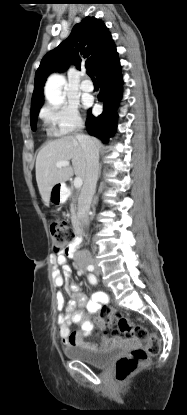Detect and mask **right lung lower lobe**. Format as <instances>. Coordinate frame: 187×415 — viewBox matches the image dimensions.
<instances>
[{
    "label": "right lung lower lobe",
    "instance_id": "obj_1",
    "mask_svg": "<svg viewBox=\"0 0 187 415\" xmlns=\"http://www.w3.org/2000/svg\"><path fill=\"white\" fill-rule=\"evenodd\" d=\"M121 66L116 54L107 66H105L96 76L100 86L98 100L103 102L102 114L95 117L89 110L86 128L90 135H93L102 142H107L114 135L117 109L121 99L122 76Z\"/></svg>",
    "mask_w": 187,
    "mask_h": 415
}]
</instances>
